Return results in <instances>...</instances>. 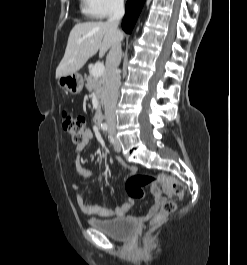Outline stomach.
<instances>
[{
	"label": "stomach",
	"instance_id": "obj_1",
	"mask_svg": "<svg viewBox=\"0 0 247 265\" xmlns=\"http://www.w3.org/2000/svg\"><path fill=\"white\" fill-rule=\"evenodd\" d=\"M57 84L61 89L69 91L71 94H79L84 85L83 77L79 73L61 76L57 79Z\"/></svg>",
	"mask_w": 247,
	"mask_h": 265
}]
</instances>
